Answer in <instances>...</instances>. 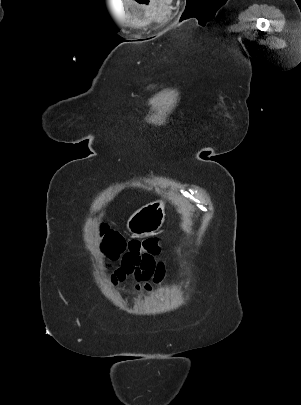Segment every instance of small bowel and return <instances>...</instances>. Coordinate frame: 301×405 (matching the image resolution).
<instances>
[{"instance_id": "obj_1", "label": "small bowel", "mask_w": 301, "mask_h": 405, "mask_svg": "<svg viewBox=\"0 0 301 405\" xmlns=\"http://www.w3.org/2000/svg\"><path fill=\"white\" fill-rule=\"evenodd\" d=\"M155 255L148 254L138 257H123L120 266L110 275L112 284L117 285L131 276L137 281L135 286L137 293L151 292L153 285H158L165 274L164 263L156 260ZM150 281L153 285L149 283Z\"/></svg>"}]
</instances>
